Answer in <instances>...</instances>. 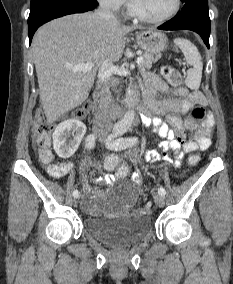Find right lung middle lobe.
<instances>
[{
    "label": "right lung middle lobe",
    "mask_w": 233,
    "mask_h": 284,
    "mask_svg": "<svg viewBox=\"0 0 233 284\" xmlns=\"http://www.w3.org/2000/svg\"><path fill=\"white\" fill-rule=\"evenodd\" d=\"M53 1H61V0H31L30 8L43 4V3H48V2H53ZM71 1H79V0H71Z\"/></svg>",
    "instance_id": "dd1d6c3e"
}]
</instances>
